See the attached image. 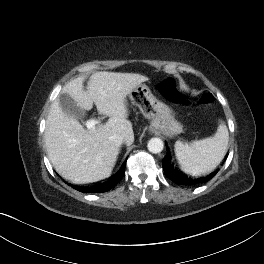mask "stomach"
<instances>
[{"mask_svg": "<svg viewBox=\"0 0 264 264\" xmlns=\"http://www.w3.org/2000/svg\"><path fill=\"white\" fill-rule=\"evenodd\" d=\"M130 99L139 107L143 116L151 120L150 131L174 137L183 132V126L178 122L172 109L159 101L145 84L137 85L130 93Z\"/></svg>", "mask_w": 264, "mask_h": 264, "instance_id": "1", "label": "stomach"}]
</instances>
